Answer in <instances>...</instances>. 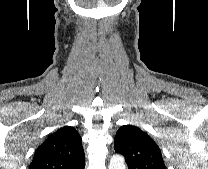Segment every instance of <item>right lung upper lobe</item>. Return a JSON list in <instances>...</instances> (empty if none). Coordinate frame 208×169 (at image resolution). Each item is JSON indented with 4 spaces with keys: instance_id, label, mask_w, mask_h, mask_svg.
Instances as JSON below:
<instances>
[{
    "instance_id": "1",
    "label": "right lung upper lobe",
    "mask_w": 208,
    "mask_h": 169,
    "mask_svg": "<svg viewBox=\"0 0 208 169\" xmlns=\"http://www.w3.org/2000/svg\"><path fill=\"white\" fill-rule=\"evenodd\" d=\"M81 142L74 127L58 129L37 148L29 169H78L85 164Z\"/></svg>"
}]
</instances>
